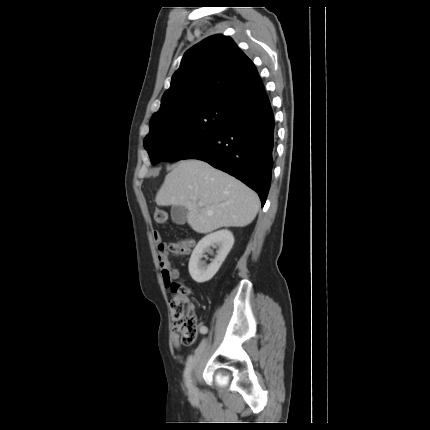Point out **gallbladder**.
Here are the masks:
<instances>
[{"label":"gallbladder","instance_id":"bac80fb5","mask_svg":"<svg viewBox=\"0 0 430 430\" xmlns=\"http://www.w3.org/2000/svg\"><path fill=\"white\" fill-rule=\"evenodd\" d=\"M188 210L183 206H172L171 218L178 225H183L187 221Z\"/></svg>","mask_w":430,"mask_h":430}]
</instances>
